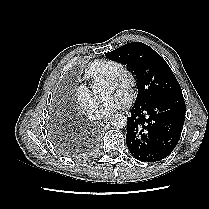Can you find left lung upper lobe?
<instances>
[{
	"instance_id": "left-lung-upper-lobe-1",
	"label": "left lung upper lobe",
	"mask_w": 209,
	"mask_h": 209,
	"mask_svg": "<svg viewBox=\"0 0 209 209\" xmlns=\"http://www.w3.org/2000/svg\"><path fill=\"white\" fill-rule=\"evenodd\" d=\"M105 55L110 60L126 64L135 73L138 94L134 105L182 92L166 61L144 43H128Z\"/></svg>"
}]
</instances>
